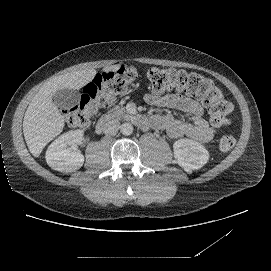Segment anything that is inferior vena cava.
I'll list each match as a JSON object with an SVG mask.
<instances>
[{"mask_svg": "<svg viewBox=\"0 0 271 271\" xmlns=\"http://www.w3.org/2000/svg\"><path fill=\"white\" fill-rule=\"evenodd\" d=\"M103 132L107 135H115L119 128H120V122L118 119H115L113 117H109L107 120L103 122Z\"/></svg>", "mask_w": 271, "mask_h": 271, "instance_id": "inferior-vena-cava-1", "label": "inferior vena cava"}]
</instances>
